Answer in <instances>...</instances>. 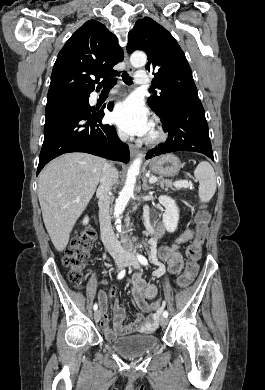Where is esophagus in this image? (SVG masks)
I'll return each mask as SVG.
<instances>
[{
  "label": "esophagus",
  "instance_id": "obj_1",
  "mask_svg": "<svg viewBox=\"0 0 265 390\" xmlns=\"http://www.w3.org/2000/svg\"><path fill=\"white\" fill-rule=\"evenodd\" d=\"M124 61L126 63V69L129 74H132L134 72L133 67L130 65L128 54L125 52V58ZM139 151V148L133 144L130 145V152L132 156H135Z\"/></svg>",
  "mask_w": 265,
  "mask_h": 390
}]
</instances>
